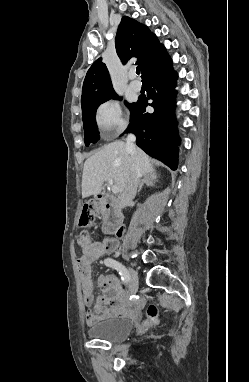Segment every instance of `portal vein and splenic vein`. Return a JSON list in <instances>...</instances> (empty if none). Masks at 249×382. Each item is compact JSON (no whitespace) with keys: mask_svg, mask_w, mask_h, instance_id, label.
<instances>
[{"mask_svg":"<svg viewBox=\"0 0 249 382\" xmlns=\"http://www.w3.org/2000/svg\"><path fill=\"white\" fill-rule=\"evenodd\" d=\"M109 184H110V186H111V190H112V192H113L114 194H116V193L119 192V188H118L116 185H114L112 181H109Z\"/></svg>","mask_w":249,"mask_h":382,"instance_id":"1","label":"portal vein and splenic vein"}]
</instances>
